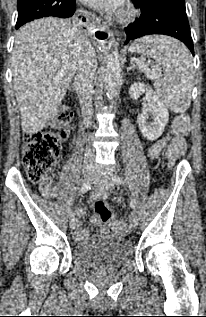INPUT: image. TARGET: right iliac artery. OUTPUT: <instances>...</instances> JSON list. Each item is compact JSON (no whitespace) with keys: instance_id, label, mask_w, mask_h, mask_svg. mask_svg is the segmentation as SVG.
Instances as JSON below:
<instances>
[{"instance_id":"right-iliac-artery-1","label":"right iliac artery","mask_w":206,"mask_h":317,"mask_svg":"<svg viewBox=\"0 0 206 317\" xmlns=\"http://www.w3.org/2000/svg\"><path fill=\"white\" fill-rule=\"evenodd\" d=\"M91 185H92V182H86L82 185L81 187V193H86L87 191H89L91 189ZM69 217L70 219H74V213L71 211L70 214H69Z\"/></svg>"}]
</instances>
